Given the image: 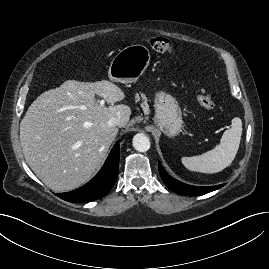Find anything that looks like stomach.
<instances>
[{"instance_id":"stomach-1","label":"stomach","mask_w":269,"mask_h":269,"mask_svg":"<svg viewBox=\"0 0 269 269\" xmlns=\"http://www.w3.org/2000/svg\"><path fill=\"white\" fill-rule=\"evenodd\" d=\"M149 49L141 44L120 50L112 59L108 71L110 80L120 83L136 82L150 64ZM155 124L167 136L181 132L183 120L179 103L172 95L158 91L155 94Z\"/></svg>"}]
</instances>
